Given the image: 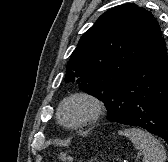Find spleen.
I'll return each mask as SVG.
<instances>
[{"instance_id":"obj_1","label":"spleen","mask_w":168,"mask_h":162,"mask_svg":"<svg viewBox=\"0 0 168 162\" xmlns=\"http://www.w3.org/2000/svg\"><path fill=\"white\" fill-rule=\"evenodd\" d=\"M119 135L128 137L143 154V162H165L166 151L160 142L147 131L139 128L120 130Z\"/></svg>"}]
</instances>
